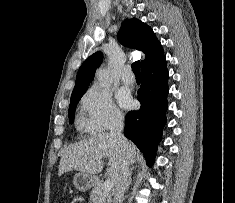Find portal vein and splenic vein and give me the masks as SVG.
Returning a JSON list of instances; mask_svg holds the SVG:
<instances>
[{
  "instance_id": "18ae733b",
  "label": "portal vein and splenic vein",
  "mask_w": 235,
  "mask_h": 203,
  "mask_svg": "<svg viewBox=\"0 0 235 203\" xmlns=\"http://www.w3.org/2000/svg\"><path fill=\"white\" fill-rule=\"evenodd\" d=\"M101 158H97V160H100ZM114 186V183L111 179H107L105 180L104 184H103V190L104 191H111L112 188Z\"/></svg>"
}]
</instances>
